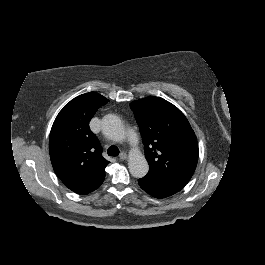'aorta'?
Segmentation results:
<instances>
[{"label":"aorta","mask_w":265,"mask_h":265,"mask_svg":"<svg viewBox=\"0 0 265 265\" xmlns=\"http://www.w3.org/2000/svg\"><path fill=\"white\" fill-rule=\"evenodd\" d=\"M102 133L110 140L120 141L125 136V130L120 118L108 114L102 119ZM130 174L135 178L144 177L149 171V165L142 154L130 152L128 160Z\"/></svg>","instance_id":"obj_1"}]
</instances>
